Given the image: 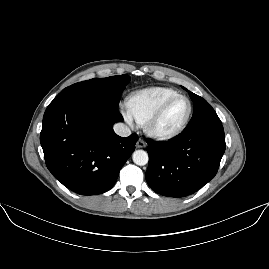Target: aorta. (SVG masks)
<instances>
[{
  "instance_id": "aorta-1",
  "label": "aorta",
  "mask_w": 269,
  "mask_h": 269,
  "mask_svg": "<svg viewBox=\"0 0 269 269\" xmlns=\"http://www.w3.org/2000/svg\"><path fill=\"white\" fill-rule=\"evenodd\" d=\"M133 161L136 165L145 166L149 162V156L145 151L137 150L133 153Z\"/></svg>"
}]
</instances>
